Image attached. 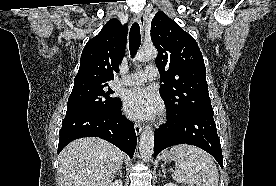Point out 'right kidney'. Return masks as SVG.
Here are the masks:
<instances>
[{
	"mask_svg": "<svg viewBox=\"0 0 276 186\" xmlns=\"http://www.w3.org/2000/svg\"><path fill=\"white\" fill-rule=\"evenodd\" d=\"M110 186H123L122 180H115Z\"/></svg>",
	"mask_w": 276,
	"mask_h": 186,
	"instance_id": "right-kidney-1",
	"label": "right kidney"
}]
</instances>
